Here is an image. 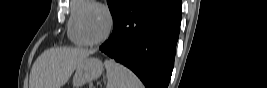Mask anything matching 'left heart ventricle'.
Here are the masks:
<instances>
[{
	"instance_id": "left-heart-ventricle-1",
	"label": "left heart ventricle",
	"mask_w": 267,
	"mask_h": 88,
	"mask_svg": "<svg viewBox=\"0 0 267 88\" xmlns=\"http://www.w3.org/2000/svg\"><path fill=\"white\" fill-rule=\"evenodd\" d=\"M83 27L90 40L96 41L100 39L107 27L105 14L99 9H90L83 20Z\"/></svg>"
}]
</instances>
